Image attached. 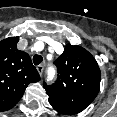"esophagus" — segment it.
<instances>
[{"mask_svg":"<svg viewBox=\"0 0 117 117\" xmlns=\"http://www.w3.org/2000/svg\"><path fill=\"white\" fill-rule=\"evenodd\" d=\"M37 71L39 72L40 75H42V73L44 71V66L43 65H38L37 66Z\"/></svg>","mask_w":117,"mask_h":117,"instance_id":"1","label":"esophagus"}]
</instances>
